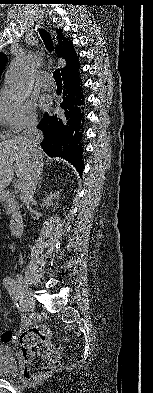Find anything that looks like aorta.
<instances>
[{
  "label": "aorta",
  "instance_id": "obj_1",
  "mask_svg": "<svg viewBox=\"0 0 153 393\" xmlns=\"http://www.w3.org/2000/svg\"><path fill=\"white\" fill-rule=\"evenodd\" d=\"M33 69V59L29 55L11 63L6 77V90L11 97L23 99L31 93Z\"/></svg>",
  "mask_w": 153,
  "mask_h": 393
}]
</instances>
